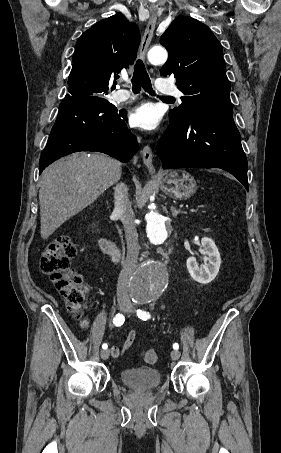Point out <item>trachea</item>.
<instances>
[{"label":"trachea","instance_id":"trachea-1","mask_svg":"<svg viewBox=\"0 0 281 453\" xmlns=\"http://www.w3.org/2000/svg\"><path fill=\"white\" fill-rule=\"evenodd\" d=\"M131 82L133 85L134 93H139L142 87L146 92L150 93L151 95H155V92L152 90L150 78L142 60H137Z\"/></svg>","mask_w":281,"mask_h":453}]
</instances>
